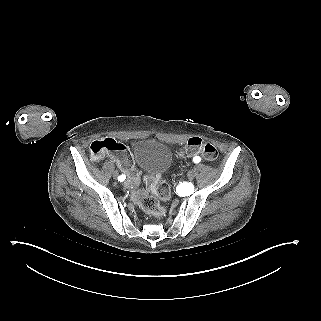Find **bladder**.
I'll return each mask as SVG.
<instances>
[{
    "mask_svg": "<svg viewBox=\"0 0 321 321\" xmlns=\"http://www.w3.org/2000/svg\"><path fill=\"white\" fill-rule=\"evenodd\" d=\"M132 159L147 176L160 177L168 170L172 156L163 143L154 139H142L134 144Z\"/></svg>",
    "mask_w": 321,
    "mask_h": 321,
    "instance_id": "31cf9c89",
    "label": "bladder"
}]
</instances>
